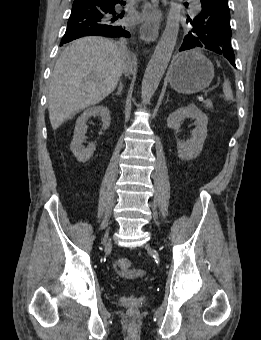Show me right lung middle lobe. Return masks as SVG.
Masks as SVG:
<instances>
[{
	"mask_svg": "<svg viewBox=\"0 0 261 340\" xmlns=\"http://www.w3.org/2000/svg\"><path fill=\"white\" fill-rule=\"evenodd\" d=\"M74 39H77V38H67V39H63V38H62L61 44H60V45H63V44H65V43H67V42H70V41H72V40H74Z\"/></svg>",
	"mask_w": 261,
	"mask_h": 340,
	"instance_id": "right-lung-middle-lobe-1",
	"label": "right lung middle lobe"
}]
</instances>
